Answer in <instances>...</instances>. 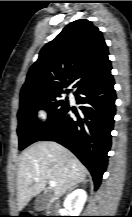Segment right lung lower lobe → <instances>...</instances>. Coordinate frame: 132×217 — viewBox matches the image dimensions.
I'll return each instance as SVG.
<instances>
[{"instance_id":"1","label":"right lung lower lobe","mask_w":132,"mask_h":217,"mask_svg":"<svg viewBox=\"0 0 132 217\" xmlns=\"http://www.w3.org/2000/svg\"><path fill=\"white\" fill-rule=\"evenodd\" d=\"M80 112L70 106L40 140L56 141L71 150L89 169L95 189L101 183L111 147L116 94L113 77L98 85L76 91ZM75 113L77 120L70 118Z\"/></svg>"}]
</instances>
